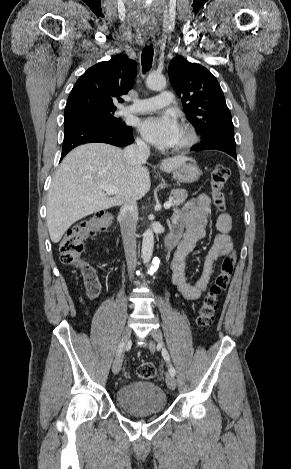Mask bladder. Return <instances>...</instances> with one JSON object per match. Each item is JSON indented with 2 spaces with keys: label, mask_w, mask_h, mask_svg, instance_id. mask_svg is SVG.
Returning <instances> with one entry per match:
<instances>
[{
  "label": "bladder",
  "mask_w": 291,
  "mask_h": 469,
  "mask_svg": "<svg viewBox=\"0 0 291 469\" xmlns=\"http://www.w3.org/2000/svg\"><path fill=\"white\" fill-rule=\"evenodd\" d=\"M119 406L132 414H159L167 405L165 392L150 381H131L121 386L116 394Z\"/></svg>",
  "instance_id": "bladder-1"
}]
</instances>
